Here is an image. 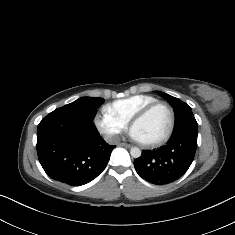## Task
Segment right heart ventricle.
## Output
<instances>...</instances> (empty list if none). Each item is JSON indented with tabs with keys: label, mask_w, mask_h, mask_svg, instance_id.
<instances>
[{
	"label": "right heart ventricle",
	"mask_w": 235,
	"mask_h": 235,
	"mask_svg": "<svg viewBox=\"0 0 235 235\" xmlns=\"http://www.w3.org/2000/svg\"><path fill=\"white\" fill-rule=\"evenodd\" d=\"M155 102H158L156 97L150 94L140 93L118 99L110 107L115 115L129 122L143 108Z\"/></svg>",
	"instance_id": "obj_1"
}]
</instances>
